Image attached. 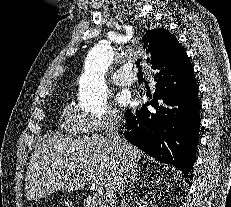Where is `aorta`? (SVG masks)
Here are the masks:
<instances>
[{"instance_id": "aorta-1", "label": "aorta", "mask_w": 231, "mask_h": 207, "mask_svg": "<svg viewBox=\"0 0 231 207\" xmlns=\"http://www.w3.org/2000/svg\"><path fill=\"white\" fill-rule=\"evenodd\" d=\"M113 59V48L106 42L95 45L88 52L84 73L79 81V101L82 109L99 113L107 109L108 88L105 84V74Z\"/></svg>"}]
</instances>
